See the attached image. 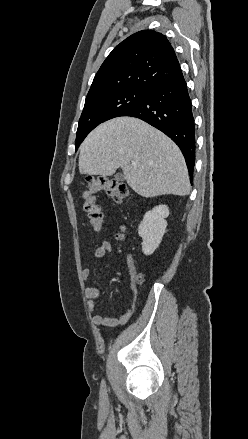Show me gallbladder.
<instances>
[{
    "label": "gallbladder",
    "mask_w": 248,
    "mask_h": 439,
    "mask_svg": "<svg viewBox=\"0 0 248 439\" xmlns=\"http://www.w3.org/2000/svg\"><path fill=\"white\" fill-rule=\"evenodd\" d=\"M115 178L118 179V180H123L124 176L121 173H118V174L115 175Z\"/></svg>",
    "instance_id": "gallbladder-1"
}]
</instances>
